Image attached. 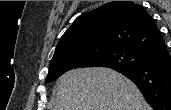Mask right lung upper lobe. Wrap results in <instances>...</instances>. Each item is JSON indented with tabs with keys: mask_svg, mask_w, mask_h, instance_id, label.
<instances>
[{
	"mask_svg": "<svg viewBox=\"0 0 171 110\" xmlns=\"http://www.w3.org/2000/svg\"><path fill=\"white\" fill-rule=\"evenodd\" d=\"M164 41L154 19L131 1H113L79 16L63 34L53 55L84 47H126L148 53Z\"/></svg>",
	"mask_w": 171,
	"mask_h": 110,
	"instance_id": "obj_1",
	"label": "right lung upper lobe"
}]
</instances>
